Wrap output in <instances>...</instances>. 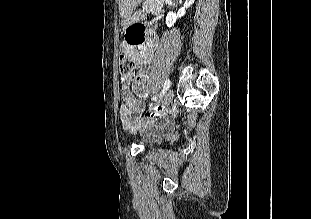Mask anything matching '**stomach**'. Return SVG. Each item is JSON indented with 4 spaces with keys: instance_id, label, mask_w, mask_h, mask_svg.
<instances>
[{
    "instance_id": "obj_1",
    "label": "stomach",
    "mask_w": 311,
    "mask_h": 219,
    "mask_svg": "<svg viewBox=\"0 0 311 219\" xmlns=\"http://www.w3.org/2000/svg\"><path fill=\"white\" fill-rule=\"evenodd\" d=\"M141 0H132V10L124 17V22L126 24H129L131 22L140 20L144 18V15L141 12H135L136 6L140 3Z\"/></svg>"
}]
</instances>
